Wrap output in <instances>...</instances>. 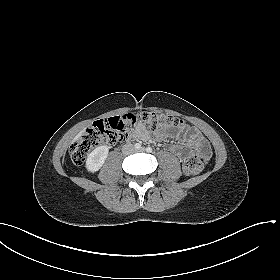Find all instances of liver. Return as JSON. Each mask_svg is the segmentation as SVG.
Listing matches in <instances>:
<instances>
[{
	"label": "liver",
	"mask_w": 280,
	"mask_h": 280,
	"mask_svg": "<svg viewBox=\"0 0 280 280\" xmlns=\"http://www.w3.org/2000/svg\"><path fill=\"white\" fill-rule=\"evenodd\" d=\"M83 132H84V131L80 132V133L77 135V137L75 138V140H77L78 138H80V137L82 136Z\"/></svg>",
	"instance_id": "liver-1"
}]
</instances>
